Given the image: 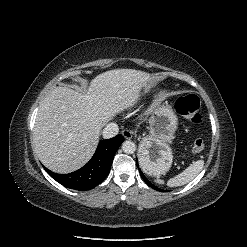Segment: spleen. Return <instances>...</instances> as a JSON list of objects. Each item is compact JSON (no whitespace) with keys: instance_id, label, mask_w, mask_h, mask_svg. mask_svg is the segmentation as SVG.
Wrapping results in <instances>:
<instances>
[{"instance_id":"obj_1","label":"spleen","mask_w":247,"mask_h":247,"mask_svg":"<svg viewBox=\"0 0 247 247\" xmlns=\"http://www.w3.org/2000/svg\"><path fill=\"white\" fill-rule=\"evenodd\" d=\"M204 161L198 160L193 162L189 167H187L183 172L176 175L175 177L168 180L167 184L170 187L181 186L187 184L191 180H193L203 169ZM158 183H163V180L158 179Z\"/></svg>"}]
</instances>
